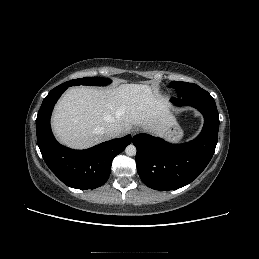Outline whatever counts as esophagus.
<instances>
[{
	"label": "esophagus",
	"mask_w": 259,
	"mask_h": 259,
	"mask_svg": "<svg viewBox=\"0 0 259 259\" xmlns=\"http://www.w3.org/2000/svg\"><path fill=\"white\" fill-rule=\"evenodd\" d=\"M139 132V128L138 127H134L132 129V135H136Z\"/></svg>",
	"instance_id": "34e87169"
}]
</instances>
